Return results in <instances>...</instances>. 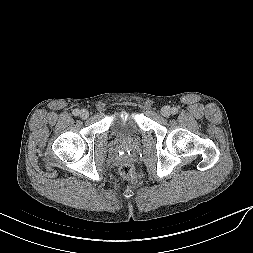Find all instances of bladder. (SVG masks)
Returning a JSON list of instances; mask_svg holds the SVG:
<instances>
[{
	"instance_id": "bladder-1",
	"label": "bladder",
	"mask_w": 253,
	"mask_h": 253,
	"mask_svg": "<svg viewBox=\"0 0 253 253\" xmlns=\"http://www.w3.org/2000/svg\"><path fill=\"white\" fill-rule=\"evenodd\" d=\"M110 131L116 137H129L139 133V114L133 109L123 110L114 115Z\"/></svg>"
}]
</instances>
